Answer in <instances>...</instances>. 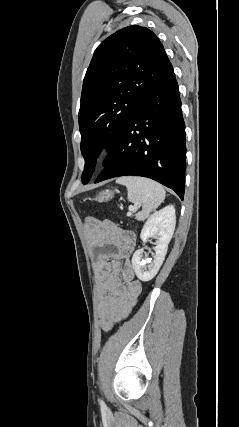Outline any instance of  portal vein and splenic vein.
<instances>
[{
	"label": "portal vein and splenic vein",
	"instance_id": "portal-vein-and-splenic-vein-1",
	"mask_svg": "<svg viewBox=\"0 0 239 427\" xmlns=\"http://www.w3.org/2000/svg\"><path fill=\"white\" fill-rule=\"evenodd\" d=\"M137 208H138L137 206H130V207H129V211H130V212L136 211V210H137Z\"/></svg>",
	"mask_w": 239,
	"mask_h": 427
}]
</instances>
